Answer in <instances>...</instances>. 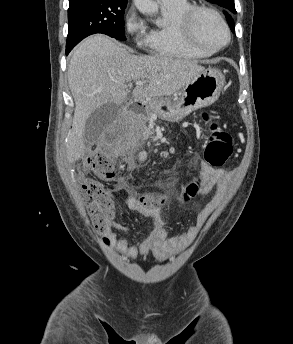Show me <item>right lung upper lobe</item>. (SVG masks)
Segmentation results:
<instances>
[{
  "instance_id": "1",
  "label": "right lung upper lobe",
  "mask_w": 293,
  "mask_h": 344,
  "mask_svg": "<svg viewBox=\"0 0 293 344\" xmlns=\"http://www.w3.org/2000/svg\"><path fill=\"white\" fill-rule=\"evenodd\" d=\"M82 0H69V4H73V3H76V2H80ZM118 1H128V0H118Z\"/></svg>"
}]
</instances>
